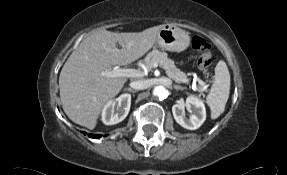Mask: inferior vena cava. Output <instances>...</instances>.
Instances as JSON below:
<instances>
[{
	"label": "inferior vena cava",
	"mask_w": 287,
	"mask_h": 175,
	"mask_svg": "<svg viewBox=\"0 0 287 175\" xmlns=\"http://www.w3.org/2000/svg\"><path fill=\"white\" fill-rule=\"evenodd\" d=\"M130 87L137 90L147 89L149 87V82L147 80L132 81L130 83Z\"/></svg>",
	"instance_id": "602c4592"
}]
</instances>
